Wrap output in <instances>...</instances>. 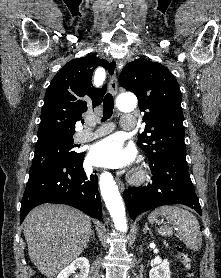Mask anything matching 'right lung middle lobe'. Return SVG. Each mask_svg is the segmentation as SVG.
Listing matches in <instances>:
<instances>
[{
  "instance_id": "obj_1",
  "label": "right lung middle lobe",
  "mask_w": 221,
  "mask_h": 278,
  "mask_svg": "<svg viewBox=\"0 0 221 278\" xmlns=\"http://www.w3.org/2000/svg\"><path fill=\"white\" fill-rule=\"evenodd\" d=\"M74 147L72 136L37 143L30 173L54 162L78 157L80 153L75 152Z\"/></svg>"
}]
</instances>
